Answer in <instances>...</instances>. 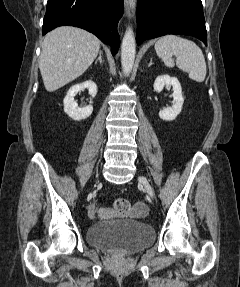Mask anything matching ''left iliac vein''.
Segmentation results:
<instances>
[{
  "label": "left iliac vein",
  "instance_id": "left-iliac-vein-1",
  "mask_svg": "<svg viewBox=\"0 0 240 287\" xmlns=\"http://www.w3.org/2000/svg\"><path fill=\"white\" fill-rule=\"evenodd\" d=\"M139 181L143 184L147 194L149 195L150 198L154 199V191L151 187V185L149 184L148 180L143 177V176H140L139 177Z\"/></svg>",
  "mask_w": 240,
  "mask_h": 287
}]
</instances>
